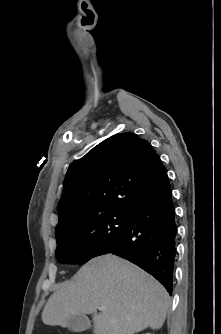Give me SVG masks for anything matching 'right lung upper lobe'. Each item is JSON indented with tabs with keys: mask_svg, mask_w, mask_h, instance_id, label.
Masks as SVG:
<instances>
[{
	"mask_svg": "<svg viewBox=\"0 0 221 334\" xmlns=\"http://www.w3.org/2000/svg\"><path fill=\"white\" fill-rule=\"evenodd\" d=\"M167 179L148 141L134 133L107 138L69 166L58 204L56 237L102 214L131 213Z\"/></svg>",
	"mask_w": 221,
	"mask_h": 334,
	"instance_id": "obj_1",
	"label": "right lung upper lobe"
}]
</instances>
